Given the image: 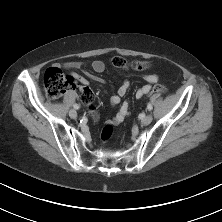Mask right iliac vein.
Wrapping results in <instances>:
<instances>
[{"instance_id":"right-iliac-vein-1","label":"right iliac vein","mask_w":222,"mask_h":222,"mask_svg":"<svg viewBox=\"0 0 222 222\" xmlns=\"http://www.w3.org/2000/svg\"><path fill=\"white\" fill-rule=\"evenodd\" d=\"M69 116L72 118V119H76L77 118V112L74 110V109H71L69 111Z\"/></svg>"}]
</instances>
